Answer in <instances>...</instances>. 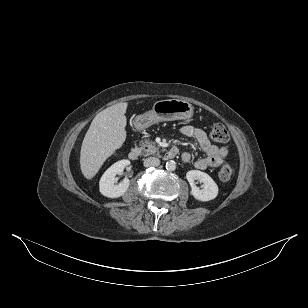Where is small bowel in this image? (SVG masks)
I'll return each mask as SVG.
<instances>
[{
    "label": "small bowel",
    "instance_id": "c3829d8e",
    "mask_svg": "<svg viewBox=\"0 0 308 308\" xmlns=\"http://www.w3.org/2000/svg\"><path fill=\"white\" fill-rule=\"evenodd\" d=\"M181 133L189 138H193L205 153L204 157L198 158L194 162L195 168L199 170H205L207 168H213L219 166L228 154V150L225 147H219L211 143L204 130L185 125L181 128ZM192 159L190 153L185 152L182 154V160L184 163H189Z\"/></svg>",
    "mask_w": 308,
    "mask_h": 308
}]
</instances>
